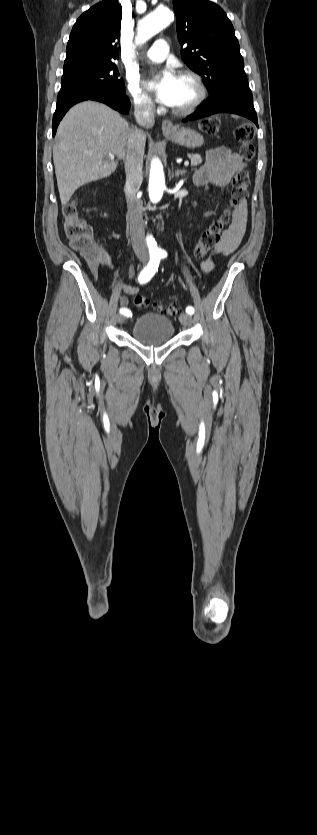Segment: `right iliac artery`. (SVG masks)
Wrapping results in <instances>:
<instances>
[{
	"instance_id": "obj_1",
	"label": "right iliac artery",
	"mask_w": 317,
	"mask_h": 835,
	"mask_svg": "<svg viewBox=\"0 0 317 835\" xmlns=\"http://www.w3.org/2000/svg\"><path fill=\"white\" fill-rule=\"evenodd\" d=\"M159 261L157 257H150L149 263L139 274L138 280L140 283H147L154 276L158 270ZM120 313L127 317L132 315L131 311L127 308H121Z\"/></svg>"
}]
</instances>
